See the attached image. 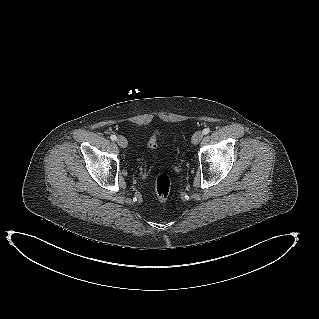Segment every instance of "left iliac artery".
Returning <instances> with one entry per match:
<instances>
[{
    "mask_svg": "<svg viewBox=\"0 0 319 319\" xmlns=\"http://www.w3.org/2000/svg\"><path fill=\"white\" fill-rule=\"evenodd\" d=\"M209 132H210V128H205V129H203V131H202V133H203L204 135L209 134Z\"/></svg>",
    "mask_w": 319,
    "mask_h": 319,
    "instance_id": "44dca946",
    "label": "left iliac artery"
}]
</instances>
